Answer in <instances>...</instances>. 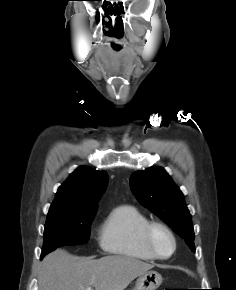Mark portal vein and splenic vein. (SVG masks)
<instances>
[{"label":"portal vein and splenic vein","instance_id":"obj_1","mask_svg":"<svg viewBox=\"0 0 236 290\" xmlns=\"http://www.w3.org/2000/svg\"><path fill=\"white\" fill-rule=\"evenodd\" d=\"M86 290H93L91 287H87Z\"/></svg>","mask_w":236,"mask_h":290}]
</instances>
